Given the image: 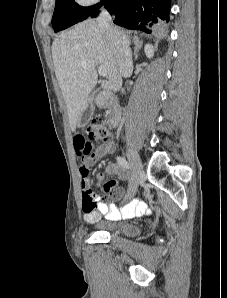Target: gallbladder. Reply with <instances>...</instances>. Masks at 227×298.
Returning a JSON list of instances; mask_svg holds the SVG:
<instances>
[{
  "label": "gallbladder",
  "mask_w": 227,
  "mask_h": 298,
  "mask_svg": "<svg viewBox=\"0 0 227 298\" xmlns=\"http://www.w3.org/2000/svg\"><path fill=\"white\" fill-rule=\"evenodd\" d=\"M92 97H93V95H92ZM93 110L94 109H93V104H92V98H89L88 104L81 114V119L78 124V127H83L89 122V120L91 119V117L93 115Z\"/></svg>",
  "instance_id": "bac80fb5"
}]
</instances>
